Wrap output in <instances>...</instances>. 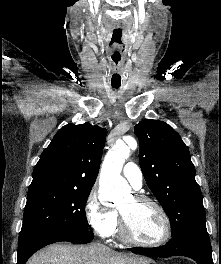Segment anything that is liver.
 Here are the masks:
<instances>
[{
  "label": "liver",
  "instance_id": "6515ba94",
  "mask_svg": "<svg viewBox=\"0 0 221 264\" xmlns=\"http://www.w3.org/2000/svg\"><path fill=\"white\" fill-rule=\"evenodd\" d=\"M141 256L118 253L101 244H54L33 255L26 264H149Z\"/></svg>",
  "mask_w": 221,
  "mask_h": 264
}]
</instances>
